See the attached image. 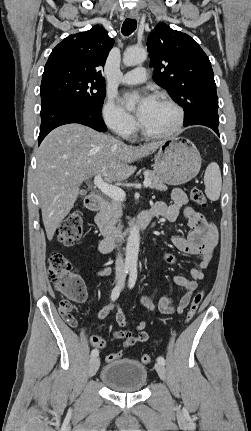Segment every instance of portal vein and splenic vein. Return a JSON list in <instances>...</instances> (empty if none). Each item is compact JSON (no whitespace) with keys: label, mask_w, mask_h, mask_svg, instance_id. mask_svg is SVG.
<instances>
[{"label":"portal vein and splenic vein","mask_w":251,"mask_h":431,"mask_svg":"<svg viewBox=\"0 0 251 431\" xmlns=\"http://www.w3.org/2000/svg\"><path fill=\"white\" fill-rule=\"evenodd\" d=\"M94 185L105 195L117 201H124L126 198L125 192L117 187L103 181L101 175H96L93 181ZM151 184V180L145 178L143 185L148 187Z\"/></svg>","instance_id":"1"}]
</instances>
